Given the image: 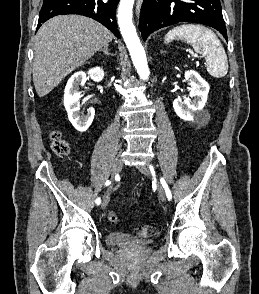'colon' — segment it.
I'll use <instances>...</instances> for the list:
<instances>
[{
	"label": "colon",
	"instance_id": "1",
	"mask_svg": "<svg viewBox=\"0 0 259 294\" xmlns=\"http://www.w3.org/2000/svg\"><path fill=\"white\" fill-rule=\"evenodd\" d=\"M52 149L59 156H66L70 147L68 143L62 138L58 131H53L51 134ZM109 219L112 223H117L118 218L114 212L109 213ZM156 233V228L149 224H140L135 231L137 237L148 238Z\"/></svg>",
	"mask_w": 259,
	"mask_h": 294
}]
</instances>
